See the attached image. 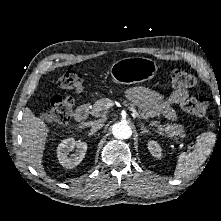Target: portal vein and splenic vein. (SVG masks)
Listing matches in <instances>:
<instances>
[{
	"label": "portal vein and splenic vein",
	"mask_w": 221,
	"mask_h": 221,
	"mask_svg": "<svg viewBox=\"0 0 221 221\" xmlns=\"http://www.w3.org/2000/svg\"><path fill=\"white\" fill-rule=\"evenodd\" d=\"M111 106H113V103H109L107 107L109 108ZM131 111H133L134 117H138V113L135 110L131 109ZM181 145L184 146L185 144H181ZM186 148L189 150L191 147L187 145Z\"/></svg>",
	"instance_id": "1"
}]
</instances>
